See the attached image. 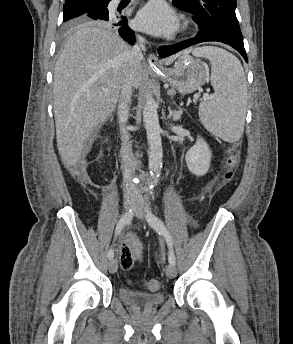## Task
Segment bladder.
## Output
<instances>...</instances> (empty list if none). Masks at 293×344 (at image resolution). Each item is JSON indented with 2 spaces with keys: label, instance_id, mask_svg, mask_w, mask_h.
<instances>
[{
  "label": "bladder",
  "instance_id": "31cf9c89",
  "mask_svg": "<svg viewBox=\"0 0 293 344\" xmlns=\"http://www.w3.org/2000/svg\"><path fill=\"white\" fill-rule=\"evenodd\" d=\"M119 298L122 302L142 311L157 309L165 301L163 293H146L126 287L119 289Z\"/></svg>",
  "mask_w": 293,
  "mask_h": 344
}]
</instances>
